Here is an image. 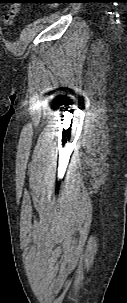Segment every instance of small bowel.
I'll return each mask as SVG.
<instances>
[{
  "instance_id": "1",
  "label": "small bowel",
  "mask_w": 127,
  "mask_h": 303,
  "mask_svg": "<svg viewBox=\"0 0 127 303\" xmlns=\"http://www.w3.org/2000/svg\"><path fill=\"white\" fill-rule=\"evenodd\" d=\"M18 6L14 5L10 8L9 15H8V22H11L13 15L17 12Z\"/></svg>"
}]
</instances>
